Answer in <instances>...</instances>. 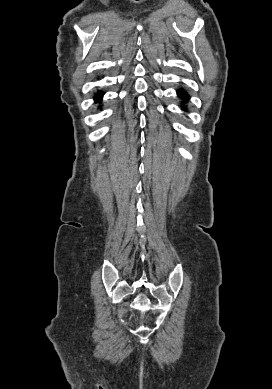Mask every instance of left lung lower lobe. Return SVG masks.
<instances>
[{"instance_id":"0a47b994","label":"left lung lower lobe","mask_w":272,"mask_h":389,"mask_svg":"<svg viewBox=\"0 0 272 389\" xmlns=\"http://www.w3.org/2000/svg\"><path fill=\"white\" fill-rule=\"evenodd\" d=\"M177 94L183 100V102H187L189 100V95L186 91L180 89L177 91ZM182 109L185 110V106H182Z\"/></svg>"}]
</instances>
